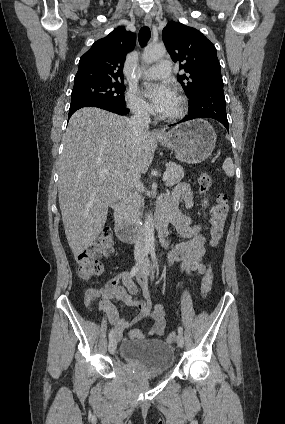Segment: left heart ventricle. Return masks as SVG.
<instances>
[{"mask_svg":"<svg viewBox=\"0 0 285 424\" xmlns=\"http://www.w3.org/2000/svg\"><path fill=\"white\" fill-rule=\"evenodd\" d=\"M180 109V102L176 96L172 99L168 108L161 114L162 116H170L178 112Z\"/></svg>","mask_w":285,"mask_h":424,"instance_id":"left-heart-ventricle-1","label":"left heart ventricle"}]
</instances>
